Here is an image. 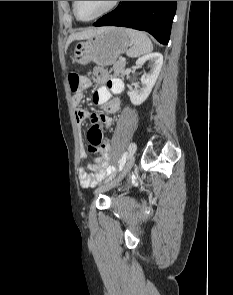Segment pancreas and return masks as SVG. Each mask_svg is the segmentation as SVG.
I'll return each mask as SVG.
<instances>
[{
    "label": "pancreas",
    "instance_id": "cf45deb5",
    "mask_svg": "<svg viewBox=\"0 0 233 295\" xmlns=\"http://www.w3.org/2000/svg\"><path fill=\"white\" fill-rule=\"evenodd\" d=\"M126 66V61L118 60L113 65L114 76L122 77L124 75V69Z\"/></svg>",
    "mask_w": 233,
    "mask_h": 295
}]
</instances>
